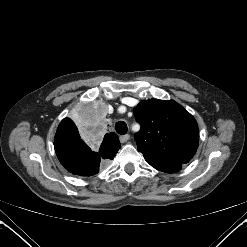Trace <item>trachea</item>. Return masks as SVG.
Wrapping results in <instances>:
<instances>
[{"mask_svg": "<svg viewBox=\"0 0 247 247\" xmlns=\"http://www.w3.org/2000/svg\"><path fill=\"white\" fill-rule=\"evenodd\" d=\"M115 129L118 134L124 135L127 133L128 127L124 121H118L115 124Z\"/></svg>", "mask_w": 247, "mask_h": 247, "instance_id": "trachea-1", "label": "trachea"}]
</instances>
